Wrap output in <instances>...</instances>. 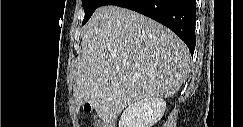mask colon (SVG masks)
<instances>
[{"instance_id":"5ec220e1","label":"colon","mask_w":243,"mask_h":127,"mask_svg":"<svg viewBox=\"0 0 243 127\" xmlns=\"http://www.w3.org/2000/svg\"><path fill=\"white\" fill-rule=\"evenodd\" d=\"M84 109H85L86 112H90V111H91V108H90V106H88V105H86V106L84 107Z\"/></svg>"}]
</instances>
